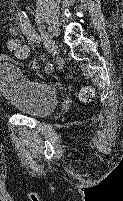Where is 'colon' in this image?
<instances>
[{"label": "colon", "mask_w": 123, "mask_h": 201, "mask_svg": "<svg viewBox=\"0 0 123 201\" xmlns=\"http://www.w3.org/2000/svg\"><path fill=\"white\" fill-rule=\"evenodd\" d=\"M7 46L18 59L23 60L27 58L28 50L20 43L19 40L11 38L8 40ZM93 96V90L89 87L83 88L80 92V99L84 102L91 101Z\"/></svg>", "instance_id": "colon-1"}]
</instances>
